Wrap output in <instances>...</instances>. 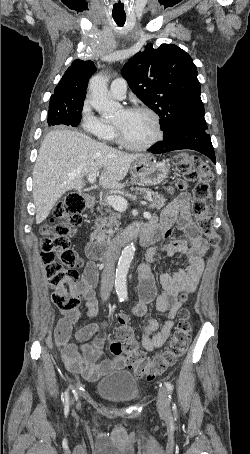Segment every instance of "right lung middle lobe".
<instances>
[{"mask_svg":"<svg viewBox=\"0 0 250 454\" xmlns=\"http://www.w3.org/2000/svg\"><path fill=\"white\" fill-rule=\"evenodd\" d=\"M84 99L71 101L64 98H50L48 119L49 126L64 124L78 126Z\"/></svg>","mask_w":250,"mask_h":454,"instance_id":"obj_1","label":"right lung middle lobe"}]
</instances>
